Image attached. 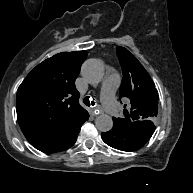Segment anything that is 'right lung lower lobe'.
I'll list each match as a JSON object with an SVG mask.
<instances>
[{"label": "right lung lower lobe", "mask_w": 193, "mask_h": 193, "mask_svg": "<svg viewBox=\"0 0 193 193\" xmlns=\"http://www.w3.org/2000/svg\"><path fill=\"white\" fill-rule=\"evenodd\" d=\"M75 141H76V139L69 146H67L64 150H66L67 148L71 147L75 143Z\"/></svg>", "instance_id": "98d812e1"}]
</instances>
